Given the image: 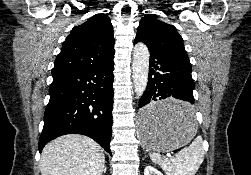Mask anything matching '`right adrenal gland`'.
I'll return each instance as SVG.
<instances>
[{
  "label": "right adrenal gland",
  "instance_id": "1",
  "mask_svg": "<svg viewBox=\"0 0 251 175\" xmlns=\"http://www.w3.org/2000/svg\"><path fill=\"white\" fill-rule=\"evenodd\" d=\"M106 171H107V167H104L103 173H106Z\"/></svg>",
  "mask_w": 251,
  "mask_h": 175
}]
</instances>
